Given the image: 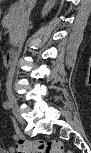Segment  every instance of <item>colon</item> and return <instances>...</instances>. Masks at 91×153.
I'll list each match as a JSON object with an SVG mask.
<instances>
[{"label": "colon", "mask_w": 91, "mask_h": 153, "mask_svg": "<svg viewBox=\"0 0 91 153\" xmlns=\"http://www.w3.org/2000/svg\"><path fill=\"white\" fill-rule=\"evenodd\" d=\"M17 153H65L69 152L59 141H46L43 139H18L14 147Z\"/></svg>", "instance_id": "5ec220e1"}]
</instances>
